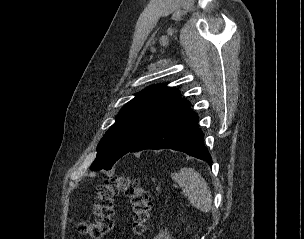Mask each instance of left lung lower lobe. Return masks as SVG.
Returning a JSON list of instances; mask_svg holds the SVG:
<instances>
[{
  "label": "left lung lower lobe",
  "instance_id": "left-lung-lower-lobe-1",
  "mask_svg": "<svg viewBox=\"0 0 304 239\" xmlns=\"http://www.w3.org/2000/svg\"><path fill=\"white\" fill-rule=\"evenodd\" d=\"M204 134L198 127V115L188 108L169 120L140 141L129 152L145 149H173L206 161L212 165V158L204 142Z\"/></svg>",
  "mask_w": 304,
  "mask_h": 239
}]
</instances>
